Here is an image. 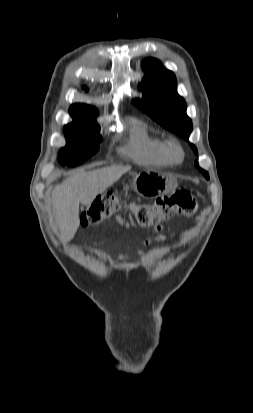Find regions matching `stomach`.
Listing matches in <instances>:
<instances>
[{
    "label": "stomach",
    "instance_id": "obj_1",
    "mask_svg": "<svg viewBox=\"0 0 253 413\" xmlns=\"http://www.w3.org/2000/svg\"><path fill=\"white\" fill-rule=\"evenodd\" d=\"M132 187L142 197L155 198L172 193L177 181L171 176L145 171L135 175Z\"/></svg>",
    "mask_w": 253,
    "mask_h": 413
}]
</instances>
